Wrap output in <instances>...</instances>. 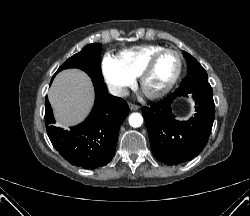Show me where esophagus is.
<instances>
[{
	"label": "esophagus",
	"instance_id": "obj_1",
	"mask_svg": "<svg viewBox=\"0 0 250 216\" xmlns=\"http://www.w3.org/2000/svg\"><path fill=\"white\" fill-rule=\"evenodd\" d=\"M129 107L131 110H139L140 106L136 104L129 103Z\"/></svg>",
	"mask_w": 250,
	"mask_h": 216
}]
</instances>
